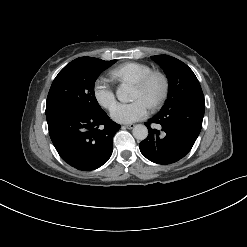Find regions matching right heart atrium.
Wrapping results in <instances>:
<instances>
[{"instance_id":"d8ad5b80","label":"right heart atrium","mask_w":247,"mask_h":247,"mask_svg":"<svg viewBox=\"0 0 247 247\" xmlns=\"http://www.w3.org/2000/svg\"><path fill=\"white\" fill-rule=\"evenodd\" d=\"M93 95L100 106L110 109L115 103V92L110 78L99 77L93 85Z\"/></svg>"}]
</instances>
